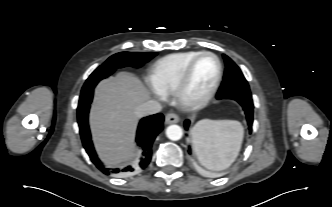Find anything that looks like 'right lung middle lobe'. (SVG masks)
Returning a JSON list of instances; mask_svg holds the SVG:
<instances>
[{
	"label": "right lung middle lobe",
	"mask_w": 332,
	"mask_h": 207,
	"mask_svg": "<svg viewBox=\"0 0 332 207\" xmlns=\"http://www.w3.org/2000/svg\"><path fill=\"white\" fill-rule=\"evenodd\" d=\"M156 54L155 52H120L112 55L89 76L81 93L93 90L100 80L110 76L116 69L126 66L141 67Z\"/></svg>",
	"instance_id": "1"
}]
</instances>
